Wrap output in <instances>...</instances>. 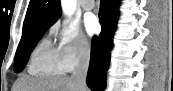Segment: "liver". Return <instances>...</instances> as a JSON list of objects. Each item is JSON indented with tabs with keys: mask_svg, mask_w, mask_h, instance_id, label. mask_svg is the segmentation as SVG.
I'll use <instances>...</instances> for the list:
<instances>
[{
	"mask_svg": "<svg viewBox=\"0 0 173 91\" xmlns=\"http://www.w3.org/2000/svg\"><path fill=\"white\" fill-rule=\"evenodd\" d=\"M12 91H80V88L71 78L22 76L15 82Z\"/></svg>",
	"mask_w": 173,
	"mask_h": 91,
	"instance_id": "liver-1",
	"label": "liver"
}]
</instances>
